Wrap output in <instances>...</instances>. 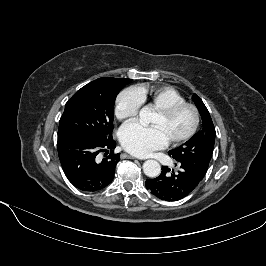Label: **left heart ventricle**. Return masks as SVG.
<instances>
[{
  "mask_svg": "<svg viewBox=\"0 0 266 266\" xmlns=\"http://www.w3.org/2000/svg\"><path fill=\"white\" fill-rule=\"evenodd\" d=\"M152 125L158 126L167 136L168 140L176 139L184 135L193 124V115L189 109H184L170 118H165L156 113Z\"/></svg>",
  "mask_w": 266,
  "mask_h": 266,
  "instance_id": "left-heart-ventricle-1",
  "label": "left heart ventricle"
}]
</instances>
